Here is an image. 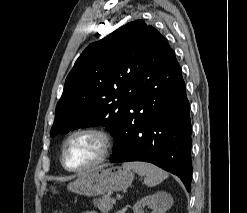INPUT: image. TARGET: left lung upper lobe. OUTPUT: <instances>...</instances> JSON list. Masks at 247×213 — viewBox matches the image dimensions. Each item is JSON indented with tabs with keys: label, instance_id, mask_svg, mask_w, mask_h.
<instances>
[{
	"label": "left lung upper lobe",
	"instance_id": "obj_1",
	"mask_svg": "<svg viewBox=\"0 0 247 213\" xmlns=\"http://www.w3.org/2000/svg\"><path fill=\"white\" fill-rule=\"evenodd\" d=\"M170 51L166 39L143 20L90 44L66 78L51 137L96 125L116 137L146 74Z\"/></svg>",
	"mask_w": 247,
	"mask_h": 213
}]
</instances>
